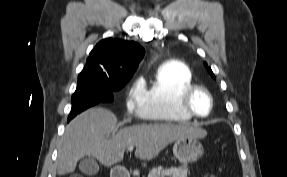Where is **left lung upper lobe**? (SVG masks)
Instances as JSON below:
<instances>
[{"instance_id": "obj_1", "label": "left lung upper lobe", "mask_w": 287, "mask_h": 177, "mask_svg": "<svg viewBox=\"0 0 287 177\" xmlns=\"http://www.w3.org/2000/svg\"><path fill=\"white\" fill-rule=\"evenodd\" d=\"M205 65H206V63H205ZM208 71H209V73L214 77V74H213V72H212V70H211L210 67L208 68Z\"/></svg>"}]
</instances>
